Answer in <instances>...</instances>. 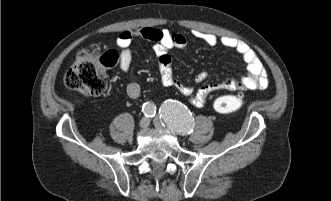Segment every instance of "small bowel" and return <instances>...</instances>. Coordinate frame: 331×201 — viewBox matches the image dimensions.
<instances>
[{"instance_id":"c3829d8e","label":"small bowel","mask_w":331,"mask_h":201,"mask_svg":"<svg viewBox=\"0 0 331 201\" xmlns=\"http://www.w3.org/2000/svg\"><path fill=\"white\" fill-rule=\"evenodd\" d=\"M193 35L209 46L222 45L235 50L241 55L246 64V74L240 79L227 77L218 83L202 85L196 92L193 87L183 84L173 73L172 60L168 51L172 49H183L187 45L185 36L171 32L167 29H156L151 27L138 28L123 31L116 40L119 50V67L123 72L129 71L132 62L131 46L135 39L141 38L154 43V51L159 59L160 79L164 86L174 87L181 94L191 96V104L196 107L202 106L208 96L218 90L235 91L240 89L262 90L269 84L268 74L262 62L254 50L245 42L228 36H216L211 33L193 31ZM206 73L200 72L196 76V82L205 80ZM126 93L131 99H137L141 95V86L131 81L126 86Z\"/></svg>"}]
</instances>
